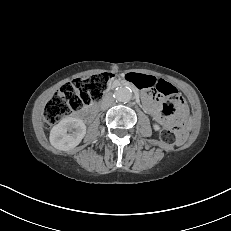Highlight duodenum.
Listing matches in <instances>:
<instances>
[{
  "instance_id": "duodenum-1",
  "label": "duodenum",
  "mask_w": 231,
  "mask_h": 231,
  "mask_svg": "<svg viewBox=\"0 0 231 231\" xmlns=\"http://www.w3.org/2000/svg\"><path fill=\"white\" fill-rule=\"evenodd\" d=\"M141 96H142V94H141ZM142 98H143V97H142ZM143 100H144V99H143ZM97 109H98L97 107L93 108L92 110L89 111V114H91V113L97 111Z\"/></svg>"
}]
</instances>
